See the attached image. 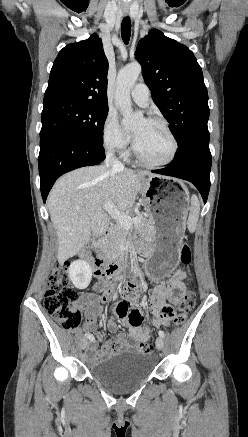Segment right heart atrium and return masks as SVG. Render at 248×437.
<instances>
[{
	"instance_id": "right-heart-atrium-1",
	"label": "right heart atrium",
	"mask_w": 248,
	"mask_h": 437,
	"mask_svg": "<svg viewBox=\"0 0 248 437\" xmlns=\"http://www.w3.org/2000/svg\"><path fill=\"white\" fill-rule=\"evenodd\" d=\"M102 140L107 149L121 153H125L129 145V138L122 130L118 117L113 111H109L104 119Z\"/></svg>"
}]
</instances>
